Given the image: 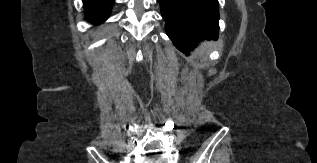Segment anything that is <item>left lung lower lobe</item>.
Instances as JSON below:
<instances>
[{
	"label": "left lung lower lobe",
	"mask_w": 317,
	"mask_h": 163,
	"mask_svg": "<svg viewBox=\"0 0 317 163\" xmlns=\"http://www.w3.org/2000/svg\"><path fill=\"white\" fill-rule=\"evenodd\" d=\"M166 32L183 53L204 39L215 40L219 33L218 0H158Z\"/></svg>",
	"instance_id": "obj_1"
}]
</instances>
